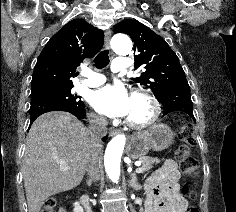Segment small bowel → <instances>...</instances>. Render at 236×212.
Here are the masks:
<instances>
[{
  "label": "small bowel",
  "mask_w": 236,
  "mask_h": 212,
  "mask_svg": "<svg viewBox=\"0 0 236 212\" xmlns=\"http://www.w3.org/2000/svg\"><path fill=\"white\" fill-rule=\"evenodd\" d=\"M179 176L173 160H167L155 171L146 184L145 212H186L187 202L177 191Z\"/></svg>",
  "instance_id": "c3829d8e"
}]
</instances>
